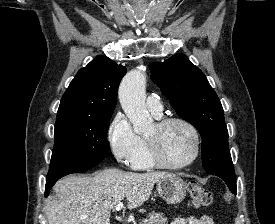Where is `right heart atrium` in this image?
Masks as SVG:
<instances>
[{"label": "right heart atrium", "instance_id": "right-heart-atrium-1", "mask_svg": "<svg viewBox=\"0 0 275 224\" xmlns=\"http://www.w3.org/2000/svg\"><path fill=\"white\" fill-rule=\"evenodd\" d=\"M107 139L115 158L122 163L130 162L140 145V137L123 113H117L111 122Z\"/></svg>", "mask_w": 275, "mask_h": 224}]
</instances>
